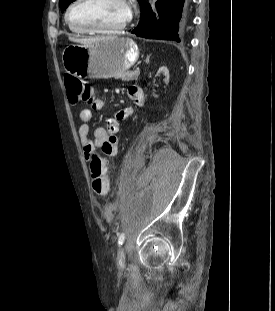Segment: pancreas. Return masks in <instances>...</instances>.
I'll list each match as a JSON object with an SVG mask.
<instances>
[{
  "instance_id": "1",
  "label": "pancreas",
  "mask_w": 275,
  "mask_h": 311,
  "mask_svg": "<svg viewBox=\"0 0 275 311\" xmlns=\"http://www.w3.org/2000/svg\"><path fill=\"white\" fill-rule=\"evenodd\" d=\"M139 76V73L136 71H126L118 76V78H121L123 81H133L137 80Z\"/></svg>"
}]
</instances>
